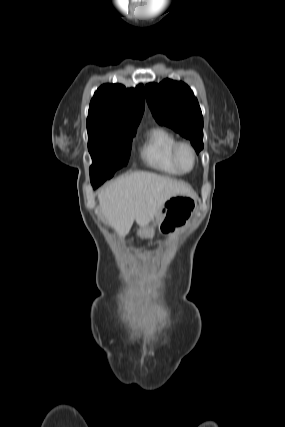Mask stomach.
I'll return each instance as SVG.
<instances>
[{"mask_svg":"<svg viewBox=\"0 0 285 427\" xmlns=\"http://www.w3.org/2000/svg\"><path fill=\"white\" fill-rule=\"evenodd\" d=\"M197 209L196 201L188 196L179 195L170 198L160 209L153 220L163 233L173 232L186 225ZM142 238H152L153 227H146L138 231Z\"/></svg>","mask_w":285,"mask_h":427,"instance_id":"1","label":"stomach"}]
</instances>
